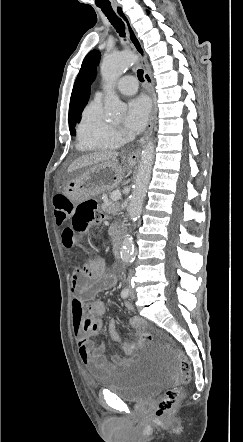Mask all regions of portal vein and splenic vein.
Masks as SVG:
<instances>
[{"instance_id":"obj_1","label":"portal vein and splenic vein","mask_w":243,"mask_h":442,"mask_svg":"<svg viewBox=\"0 0 243 442\" xmlns=\"http://www.w3.org/2000/svg\"><path fill=\"white\" fill-rule=\"evenodd\" d=\"M121 199V193L119 191H115L111 194L112 201H118Z\"/></svg>"}]
</instances>
